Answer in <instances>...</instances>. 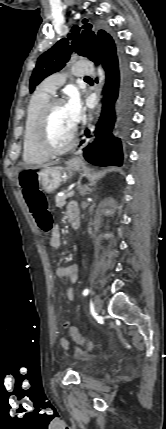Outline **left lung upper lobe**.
I'll use <instances>...</instances> for the list:
<instances>
[{
	"label": "left lung upper lobe",
	"instance_id": "1",
	"mask_svg": "<svg viewBox=\"0 0 166 429\" xmlns=\"http://www.w3.org/2000/svg\"><path fill=\"white\" fill-rule=\"evenodd\" d=\"M86 22V19L83 20L85 24L81 27L74 25L68 38L61 39L38 58L29 82L30 92H33L44 78L61 70L72 54L93 60L98 43L107 45L114 42L113 37L106 31H92V25Z\"/></svg>",
	"mask_w": 166,
	"mask_h": 429
}]
</instances>
